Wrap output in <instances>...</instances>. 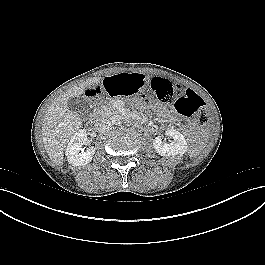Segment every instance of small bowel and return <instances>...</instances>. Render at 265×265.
I'll use <instances>...</instances> for the list:
<instances>
[{
	"label": "small bowel",
	"mask_w": 265,
	"mask_h": 265,
	"mask_svg": "<svg viewBox=\"0 0 265 265\" xmlns=\"http://www.w3.org/2000/svg\"><path fill=\"white\" fill-rule=\"evenodd\" d=\"M146 80L142 74H119L107 77L102 85L106 92L110 95H125L132 96L136 90L142 89L145 86ZM160 113L166 118H174L175 111L161 107Z\"/></svg>",
	"instance_id": "c3829d8e"
}]
</instances>
